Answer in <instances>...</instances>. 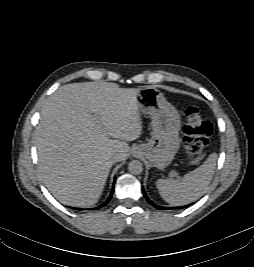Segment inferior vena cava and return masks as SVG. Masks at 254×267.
<instances>
[{
    "mask_svg": "<svg viewBox=\"0 0 254 267\" xmlns=\"http://www.w3.org/2000/svg\"><path fill=\"white\" fill-rule=\"evenodd\" d=\"M113 161L114 162H117L118 161V154L113 158Z\"/></svg>",
    "mask_w": 254,
    "mask_h": 267,
    "instance_id": "inferior-vena-cava-1",
    "label": "inferior vena cava"
}]
</instances>
